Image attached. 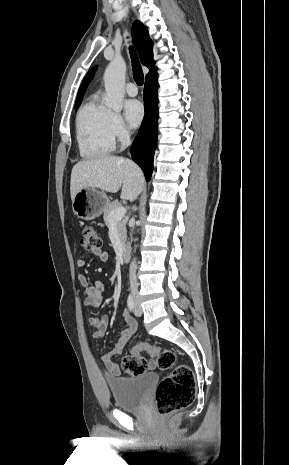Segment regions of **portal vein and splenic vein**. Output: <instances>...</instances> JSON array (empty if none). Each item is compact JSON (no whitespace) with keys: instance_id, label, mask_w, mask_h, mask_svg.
Returning a JSON list of instances; mask_svg holds the SVG:
<instances>
[{"instance_id":"1","label":"portal vein and splenic vein","mask_w":289,"mask_h":465,"mask_svg":"<svg viewBox=\"0 0 289 465\" xmlns=\"http://www.w3.org/2000/svg\"><path fill=\"white\" fill-rule=\"evenodd\" d=\"M126 214V209L124 207L117 208L111 213L110 220L111 222L120 221Z\"/></svg>"}]
</instances>
